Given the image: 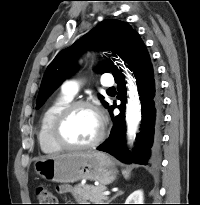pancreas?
Segmentation results:
<instances>
[{"label": "pancreas", "mask_w": 200, "mask_h": 205, "mask_svg": "<svg viewBox=\"0 0 200 205\" xmlns=\"http://www.w3.org/2000/svg\"><path fill=\"white\" fill-rule=\"evenodd\" d=\"M106 191L104 185L93 186V185H76L73 188L72 195L77 201H90L94 204H101L103 201H107L108 197L103 195Z\"/></svg>", "instance_id": "cf45deb5"}]
</instances>
